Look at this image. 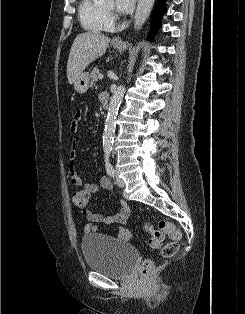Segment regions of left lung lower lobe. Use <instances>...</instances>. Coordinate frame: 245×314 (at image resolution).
<instances>
[{
  "label": "left lung lower lobe",
  "instance_id": "obj_1",
  "mask_svg": "<svg viewBox=\"0 0 245 314\" xmlns=\"http://www.w3.org/2000/svg\"><path fill=\"white\" fill-rule=\"evenodd\" d=\"M166 12L165 8V0H158L155 9L152 13L151 18V28L149 32V40L153 39L154 34L156 33L157 29L160 27V22L163 14Z\"/></svg>",
  "mask_w": 245,
  "mask_h": 314
}]
</instances>
